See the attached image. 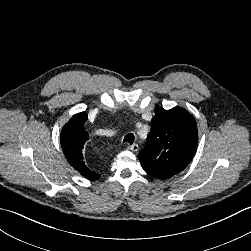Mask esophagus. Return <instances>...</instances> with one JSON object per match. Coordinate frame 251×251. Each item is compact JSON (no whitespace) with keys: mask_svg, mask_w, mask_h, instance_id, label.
Returning a JSON list of instances; mask_svg holds the SVG:
<instances>
[{"mask_svg":"<svg viewBox=\"0 0 251 251\" xmlns=\"http://www.w3.org/2000/svg\"><path fill=\"white\" fill-rule=\"evenodd\" d=\"M129 149L136 152V151H138L139 146H138V144L135 143V144H132L131 146H129Z\"/></svg>","mask_w":251,"mask_h":251,"instance_id":"obj_1","label":"esophagus"}]
</instances>
